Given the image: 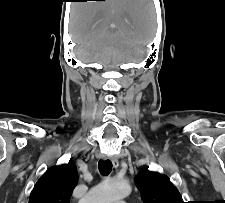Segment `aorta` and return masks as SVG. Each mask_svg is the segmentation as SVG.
Masks as SVG:
<instances>
[{
    "mask_svg": "<svg viewBox=\"0 0 225 203\" xmlns=\"http://www.w3.org/2000/svg\"><path fill=\"white\" fill-rule=\"evenodd\" d=\"M128 183L113 179H106L94 186L80 201V203H113L130 193Z\"/></svg>",
    "mask_w": 225,
    "mask_h": 203,
    "instance_id": "aorta-1",
    "label": "aorta"
}]
</instances>
